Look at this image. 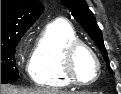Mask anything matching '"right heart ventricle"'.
Wrapping results in <instances>:
<instances>
[{
	"label": "right heart ventricle",
	"mask_w": 121,
	"mask_h": 94,
	"mask_svg": "<svg viewBox=\"0 0 121 94\" xmlns=\"http://www.w3.org/2000/svg\"><path fill=\"white\" fill-rule=\"evenodd\" d=\"M77 39L74 27L65 20H54L45 26L29 63V75L36 85L49 89L72 86L63 71V54L66 46Z\"/></svg>",
	"instance_id": "1"
}]
</instances>
